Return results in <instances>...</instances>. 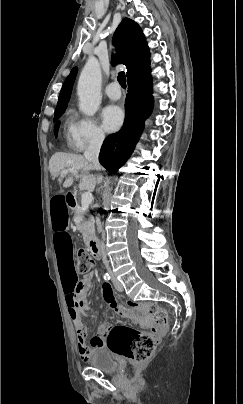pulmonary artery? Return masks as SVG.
Wrapping results in <instances>:
<instances>
[{
    "label": "pulmonary artery",
    "instance_id": "e3ab8cb5",
    "mask_svg": "<svg viewBox=\"0 0 243 404\" xmlns=\"http://www.w3.org/2000/svg\"><path fill=\"white\" fill-rule=\"evenodd\" d=\"M106 95L112 100L121 98V88L117 82H112L106 87Z\"/></svg>",
    "mask_w": 243,
    "mask_h": 404
}]
</instances>
